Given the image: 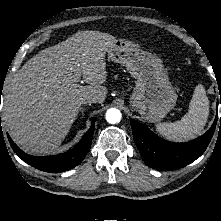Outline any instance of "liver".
Here are the masks:
<instances>
[{"instance_id":"obj_1","label":"liver","mask_w":221,"mask_h":221,"mask_svg":"<svg viewBox=\"0 0 221 221\" xmlns=\"http://www.w3.org/2000/svg\"><path fill=\"white\" fill-rule=\"evenodd\" d=\"M116 40L98 31L77 32L42 50L14 74L4 92L2 119L24 151L54 152L68 134L82 101H105V55ZM75 68L88 86L78 84Z\"/></svg>"}]
</instances>
